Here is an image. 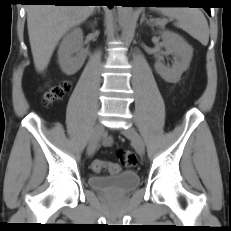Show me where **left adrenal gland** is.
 I'll return each instance as SVG.
<instances>
[{
    "instance_id": "left-adrenal-gland-1",
    "label": "left adrenal gland",
    "mask_w": 231,
    "mask_h": 231,
    "mask_svg": "<svg viewBox=\"0 0 231 231\" xmlns=\"http://www.w3.org/2000/svg\"><path fill=\"white\" fill-rule=\"evenodd\" d=\"M143 22H146L147 24H150V20L147 19V17L145 16V13H142L141 19H140V25H142Z\"/></svg>"
}]
</instances>
